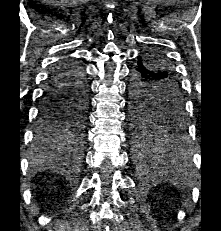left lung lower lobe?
Listing matches in <instances>:
<instances>
[{"label":"left lung lower lobe","mask_w":221,"mask_h":231,"mask_svg":"<svg viewBox=\"0 0 221 231\" xmlns=\"http://www.w3.org/2000/svg\"><path fill=\"white\" fill-rule=\"evenodd\" d=\"M146 61L143 57H138L131 71L130 111L134 105L137 106V108H142L147 104L156 105L160 102L157 98L159 95H155V97L151 99L153 100L152 103H149L145 98L146 95H144V92H147L146 90H150L148 92H154L153 94H155L156 91H160L163 88V85L157 83V79L162 78L163 75L151 71L147 67ZM172 127L173 131H170L171 134L169 135H158L147 142H137L134 140L140 149L145 151L144 155L150 153L157 155L156 161L159 163L169 160L177 163L187 153L183 120L176 122Z\"/></svg>","instance_id":"1"}]
</instances>
